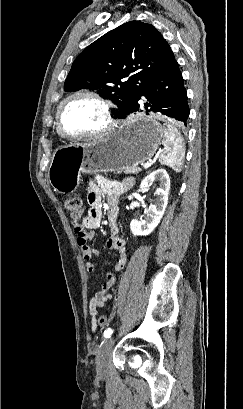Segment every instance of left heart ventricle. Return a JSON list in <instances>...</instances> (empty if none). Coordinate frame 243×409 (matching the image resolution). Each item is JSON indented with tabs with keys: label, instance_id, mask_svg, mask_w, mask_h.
Here are the masks:
<instances>
[{
	"label": "left heart ventricle",
	"instance_id": "b2bd125f",
	"mask_svg": "<svg viewBox=\"0 0 243 409\" xmlns=\"http://www.w3.org/2000/svg\"><path fill=\"white\" fill-rule=\"evenodd\" d=\"M61 124L69 135L87 134L101 129L104 124L102 107L88 97H76L64 107Z\"/></svg>",
	"mask_w": 243,
	"mask_h": 409
}]
</instances>
